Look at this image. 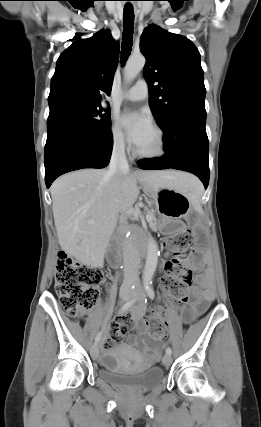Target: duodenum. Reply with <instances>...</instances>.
Returning a JSON list of instances; mask_svg holds the SVG:
<instances>
[{"label":"duodenum","instance_id":"410a0bca","mask_svg":"<svg viewBox=\"0 0 261 427\" xmlns=\"http://www.w3.org/2000/svg\"><path fill=\"white\" fill-rule=\"evenodd\" d=\"M120 238L114 237L111 241V248L108 254V262L111 267L118 268L121 265V255L119 252Z\"/></svg>","mask_w":261,"mask_h":427}]
</instances>
